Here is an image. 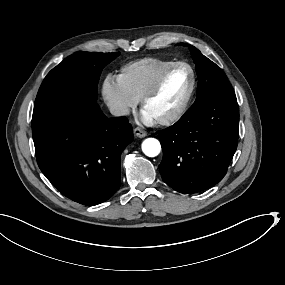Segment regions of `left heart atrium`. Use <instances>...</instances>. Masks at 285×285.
I'll return each mask as SVG.
<instances>
[{
	"mask_svg": "<svg viewBox=\"0 0 285 285\" xmlns=\"http://www.w3.org/2000/svg\"><path fill=\"white\" fill-rule=\"evenodd\" d=\"M140 119L147 124H152L157 122V118L150 112L142 109L139 113Z\"/></svg>",
	"mask_w": 285,
	"mask_h": 285,
	"instance_id": "39dd6f15",
	"label": "left heart atrium"
}]
</instances>
